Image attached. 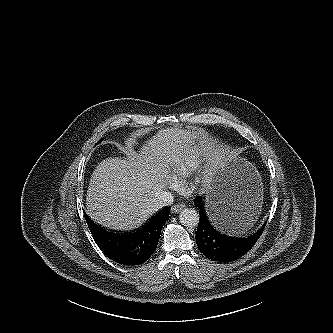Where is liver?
<instances>
[{
    "mask_svg": "<svg viewBox=\"0 0 333 333\" xmlns=\"http://www.w3.org/2000/svg\"><path fill=\"white\" fill-rule=\"evenodd\" d=\"M198 146H209L200 128L159 130L139 152L127 158H107L94 170L86 197V212L96 223L115 230H131L157 211L154 199L164 191L172 169ZM216 155L211 161V168Z\"/></svg>",
    "mask_w": 333,
    "mask_h": 333,
    "instance_id": "liver-1",
    "label": "liver"
}]
</instances>
